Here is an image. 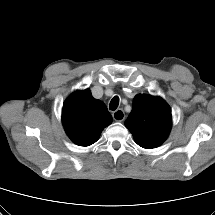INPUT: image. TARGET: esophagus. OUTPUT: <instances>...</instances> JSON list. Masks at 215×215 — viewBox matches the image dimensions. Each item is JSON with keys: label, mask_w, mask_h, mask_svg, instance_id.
<instances>
[{"label": "esophagus", "mask_w": 215, "mask_h": 215, "mask_svg": "<svg viewBox=\"0 0 215 215\" xmlns=\"http://www.w3.org/2000/svg\"><path fill=\"white\" fill-rule=\"evenodd\" d=\"M112 116L113 119L118 122H121L125 119V113L122 109H117L116 111H114Z\"/></svg>", "instance_id": "34e87169"}]
</instances>
